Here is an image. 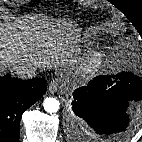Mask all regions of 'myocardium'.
Segmentation results:
<instances>
[{"instance_id":"myocardium-1","label":"myocardium","mask_w":142,"mask_h":142,"mask_svg":"<svg viewBox=\"0 0 142 142\" xmlns=\"http://www.w3.org/2000/svg\"><path fill=\"white\" fill-rule=\"evenodd\" d=\"M105 60V54L95 53L89 59H87L82 65L81 69L84 74H92L97 72L103 65Z\"/></svg>"}]
</instances>
